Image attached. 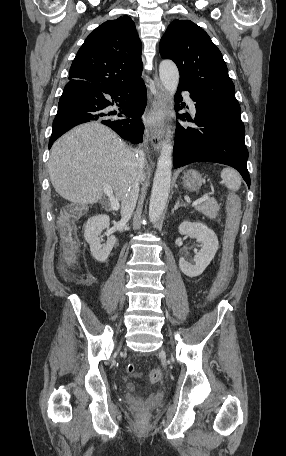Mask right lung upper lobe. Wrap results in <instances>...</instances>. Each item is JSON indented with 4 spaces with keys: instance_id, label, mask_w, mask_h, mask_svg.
Wrapping results in <instances>:
<instances>
[{
    "instance_id": "1",
    "label": "right lung upper lobe",
    "mask_w": 286,
    "mask_h": 456,
    "mask_svg": "<svg viewBox=\"0 0 286 456\" xmlns=\"http://www.w3.org/2000/svg\"><path fill=\"white\" fill-rule=\"evenodd\" d=\"M141 42L128 16L109 20L92 31L77 52L70 80L92 83L113 90L141 80Z\"/></svg>"
}]
</instances>
